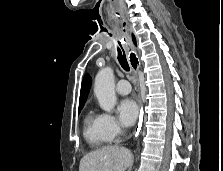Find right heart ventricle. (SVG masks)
Instances as JSON below:
<instances>
[{"label":"right heart ventricle","mask_w":223,"mask_h":171,"mask_svg":"<svg viewBox=\"0 0 223 171\" xmlns=\"http://www.w3.org/2000/svg\"><path fill=\"white\" fill-rule=\"evenodd\" d=\"M84 137L93 147H101L110 141L102 129L100 115L92 110L84 118Z\"/></svg>","instance_id":"1"}]
</instances>
